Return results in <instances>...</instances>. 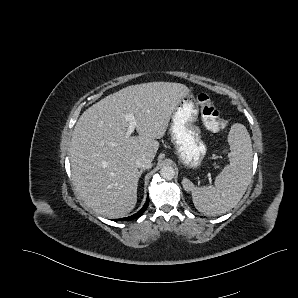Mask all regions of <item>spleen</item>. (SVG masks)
<instances>
[{
	"label": "spleen",
	"instance_id": "spleen-1",
	"mask_svg": "<svg viewBox=\"0 0 298 298\" xmlns=\"http://www.w3.org/2000/svg\"><path fill=\"white\" fill-rule=\"evenodd\" d=\"M227 140L230 163L216 176L214 186L196 187L189 179L182 180L183 188L192 193L195 208L206 215H219L232 209L251 180L253 149L247 128L240 123L233 124Z\"/></svg>",
	"mask_w": 298,
	"mask_h": 298
}]
</instances>
